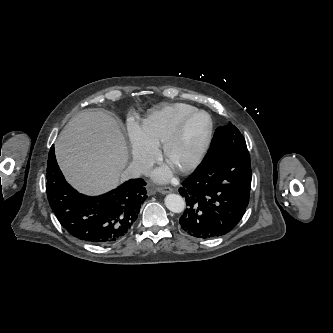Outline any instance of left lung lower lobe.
Listing matches in <instances>:
<instances>
[{
  "instance_id": "0a47b994",
  "label": "left lung lower lobe",
  "mask_w": 333,
  "mask_h": 333,
  "mask_svg": "<svg viewBox=\"0 0 333 333\" xmlns=\"http://www.w3.org/2000/svg\"><path fill=\"white\" fill-rule=\"evenodd\" d=\"M237 133L235 126L217 128L205 159L179 189L187 205L179 223L191 236L205 239L224 235L246 212L252 179L248 149L241 148L229 157L210 153Z\"/></svg>"
}]
</instances>
